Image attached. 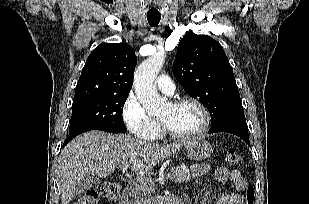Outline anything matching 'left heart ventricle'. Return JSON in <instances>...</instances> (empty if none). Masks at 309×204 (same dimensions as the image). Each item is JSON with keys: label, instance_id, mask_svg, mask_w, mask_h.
Instances as JSON below:
<instances>
[{"label": "left heart ventricle", "instance_id": "1", "mask_svg": "<svg viewBox=\"0 0 309 204\" xmlns=\"http://www.w3.org/2000/svg\"><path fill=\"white\" fill-rule=\"evenodd\" d=\"M172 131L179 134H189L197 131L202 125V114L200 110L192 104L172 106L168 104L159 115Z\"/></svg>", "mask_w": 309, "mask_h": 204}]
</instances>
